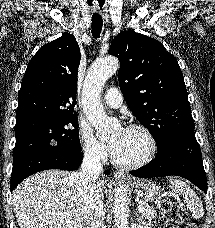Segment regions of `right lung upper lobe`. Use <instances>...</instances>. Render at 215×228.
Wrapping results in <instances>:
<instances>
[{
    "mask_svg": "<svg viewBox=\"0 0 215 228\" xmlns=\"http://www.w3.org/2000/svg\"><path fill=\"white\" fill-rule=\"evenodd\" d=\"M80 49L65 33L43 45L29 62L18 96L16 123L48 116L76 114Z\"/></svg>",
    "mask_w": 215,
    "mask_h": 228,
    "instance_id": "1",
    "label": "right lung upper lobe"
}]
</instances>
